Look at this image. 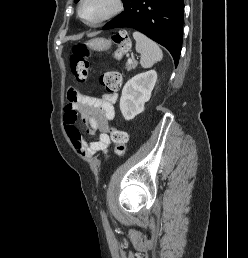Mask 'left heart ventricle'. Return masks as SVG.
<instances>
[{
  "label": "left heart ventricle",
  "instance_id": "obj_1",
  "mask_svg": "<svg viewBox=\"0 0 248 258\" xmlns=\"http://www.w3.org/2000/svg\"><path fill=\"white\" fill-rule=\"evenodd\" d=\"M113 7V0H86L83 15L88 21H95L105 15Z\"/></svg>",
  "mask_w": 248,
  "mask_h": 258
}]
</instances>
